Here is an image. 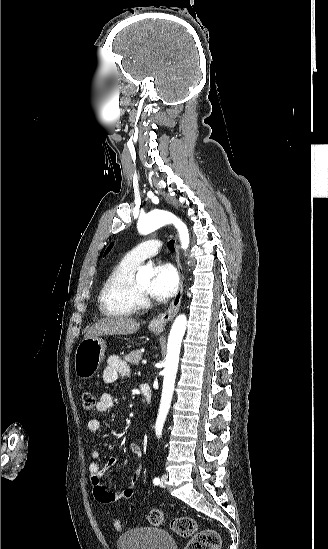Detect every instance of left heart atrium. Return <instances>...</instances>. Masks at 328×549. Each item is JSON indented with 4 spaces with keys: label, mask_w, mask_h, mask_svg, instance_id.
I'll return each instance as SVG.
<instances>
[{
    "label": "left heart atrium",
    "mask_w": 328,
    "mask_h": 549,
    "mask_svg": "<svg viewBox=\"0 0 328 549\" xmlns=\"http://www.w3.org/2000/svg\"><path fill=\"white\" fill-rule=\"evenodd\" d=\"M179 283V275L172 264H158L151 275L149 295L159 301L167 300L177 292Z\"/></svg>",
    "instance_id": "39dd6f15"
}]
</instances>
